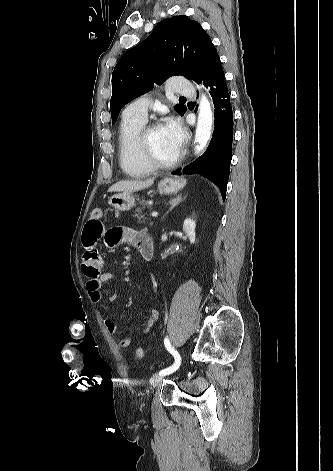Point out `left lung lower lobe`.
I'll return each mask as SVG.
<instances>
[{
    "label": "left lung lower lobe",
    "instance_id": "obj_1",
    "mask_svg": "<svg viewBox=\"0 0 333 471\" xmlns=\"http://www.w3.org/2000/svg\"><path fill=\"white\" fill-rule=\"evenodd\" d=\"M210 87L215 107L213 136L206 152L188 165L178 169L175 175L201 174L213 180L219 187L223 199L229 179V166L232 159L233 113L230 95L217 51L212 54L197 83Z\"/></svg>",
    "mask_w": 333,
    "mask_h": 471
}]
</instances>
